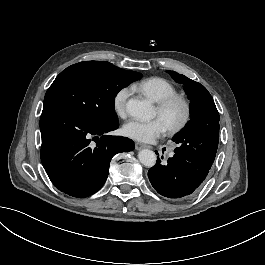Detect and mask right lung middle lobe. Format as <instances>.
<instances>
[{
  "label": "right lung middle lobe",
  "instance_id": "1",
  "mask_svg": "<svg viewBox=\"0 0 265 265\" xmlns=\"http://www.w3.org/2000/svg\"><path fill=\"white\" fill-rule=\"evenodd\" d=\"M141 76L106 61L71 65L47 90L43 109L61 110L94 126L116 125L114 99L117 93Z\"/></svg>",
  "mask_w": 265,
  "mask_h": 265
}]
</instances>
